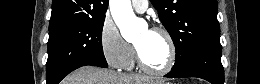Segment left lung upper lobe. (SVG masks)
I'll use <instances>...</instances> for the list:
<instances>
[{
	"label": "left lung upper lobe",
	"instance_id": "1",
	"mask_svg": "<svg viewBox=\"0 0 260 84\" xmlns=\"http://www.w3.org/2000/svg\"><path fill=\"white\" fill-rule=\"evenodd\" d=\"M150 1L174 42L173 68L182 65L197 50L220 44L217 0Z\"/></svg>",
	"mask_w": 260,
	"mask_h": 84
}]
</instances>
